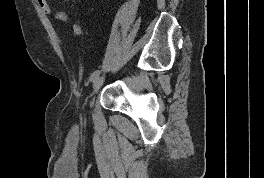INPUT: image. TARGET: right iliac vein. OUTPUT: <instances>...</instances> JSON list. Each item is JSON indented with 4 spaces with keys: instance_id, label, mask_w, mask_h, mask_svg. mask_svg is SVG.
Here are the masks:
<instances>
[{
    "instance_id": "63e3f726",
    "label": "right iliac vein",
    "mask_w": 264,
    "mask_h": 178,
    "mask_svg": "<svg viewBox=\"0 0 264 178\" xmlns=\"http://www.w3.org/2000/svg\"><path fill=\"white\" fill-rule=\"evenodd\" d=\"M104 79H105L104 77H99V76L93 79V88H92L90 96H93L95 94V92L99 89V87L104 82Z\"/></svg>"
}]
</instances>
